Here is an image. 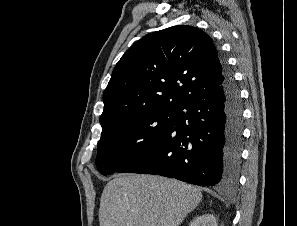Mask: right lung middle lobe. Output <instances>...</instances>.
I'll use <instances>...</instances> for the list:
<instances>
[{
    "instance_id": "1",
    "label": "right lung middle lobe",
    "mask_w": 297,
    "mask_h": 226,
    "mask_svg": "<svg viewBox=\"0 0 297 226\" xmlns=\"http://www.w3.org/2000/svg\"><path fill=\"white\" fill-rule=\"evenodd\" d=\"M177 111H151L102 129L96 165L104 174L121 170L148 149L174 124Z\"/></svg>"
}]
</instances>
